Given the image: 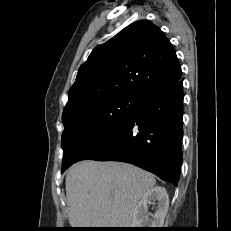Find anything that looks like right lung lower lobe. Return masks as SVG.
<instances>
[{"mask_svg":"<svg viewBox=\"0 0 231 231\" xmlns=\"http://www.w3.org/2000/svg\"><path fill=\"white\" fill-rule=\"evenodd\" d=\"M183 98L182 80L142 91L135 113L80 160L131 163L177 185L182 164Z\"/></svg>","mask_w":231,"mask_h":231,"instance_id":"obj_1","label":"right lung lower lobe"}]
</instances>
